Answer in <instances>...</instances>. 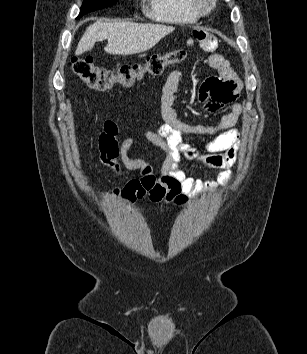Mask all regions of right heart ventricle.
I'll use <instances>...</instances> for the list:
<instances>
[{
	"mask_svg": "<svg viewBox=\"0 0 307 354\" xmlns=\"http://www.w3.org/2000/svg\"><path fill=\"white\" fill-rule=\"evenodd\" d=\"M146 14L155 21L171 24H193L199 19L191 0H148Z\"/></svg>",
	"mask_w": 307,
	"mask_h": 354,
	"instance_id": "obj_1",
	"label": "right heart ventricle"
}]
</instances>
